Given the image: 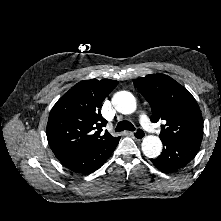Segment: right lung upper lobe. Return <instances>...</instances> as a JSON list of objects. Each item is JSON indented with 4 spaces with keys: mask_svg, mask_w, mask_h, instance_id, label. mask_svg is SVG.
Wrapping results in <instances>:
<instances>
[{
    "mask_svg": "<svg viewBox=\"0 0 221 221\" xmlns=\"http://www.w3.org/2000/svg\"><path fill=\"white\" fill-rule=\"evenodd\" d=\"M117 84L108 79L84 80L56 102L49 115L46 133L58 160L97 151L119 140L107 131L101 133L107 121L100 113L102 102Z\"/></svg>",
    "mask_w": 221,
    "mask_h": 221,
    "instance_id": "obj_1",
    "label": "right lung upper lobe"
}]
</instances>
